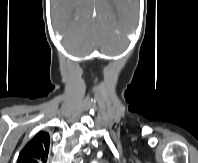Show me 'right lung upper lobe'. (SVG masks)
<instances>
[{"label": "right lung upper lobe", "mask_w": 198, "mask_h": 163, "mask_svg": "<svg viewBox=\"0 0 198 163\" xmlns=\"http://www.w3.org/2000/svg\"><path fill=\"white\" fill-rule=\"evenodd\" d=\"M50 137L47 132H39L20 152L17 163H46Z\"/></svg>", "instance_id": "1"}]
</instances>
